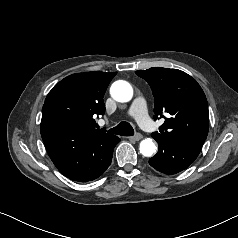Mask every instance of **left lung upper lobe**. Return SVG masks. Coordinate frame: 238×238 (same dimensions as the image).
<instances>
[{
	"instance_id": "5c2ea615",
	"label": "left lung upper lobe",
	"mask_w": 238,
	"mask_h": 238,
	"mask_svg": "<svg viewBox=\"0 0 238 238\" xmlns=\"http://www.w3.org/2000/svg\"><path fill=\"white\" fill-rule=\"evenodd\" d=\"M135 73L153 91L155 118H165L159 132L151 136L156 141L168 140L201 150L209 130V114L200 85L178 69L153 67Z\"/></svg>"
}]
</instances>
